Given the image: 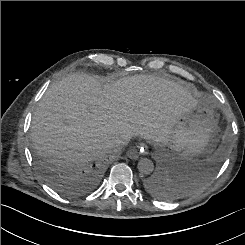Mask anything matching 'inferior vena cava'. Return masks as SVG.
<instances>
[{"mask_svg": "<svg viewBox=\"0 0 245 245\" xmlns=\"http://www.w3.org/2000/svg\"><path fill=\"white\" fill-rule=\"evenodd\" d=\"M129 138H124L115 141L114 143L108 145V149L111 150L113 153H120L124 149V147L128 144Z\"/></svg>", "mask_w": 245, "mask_h": 245, "instance_id": "inferior-vena-cava-1", "label": "inferior vena cava"}]
</instances>
